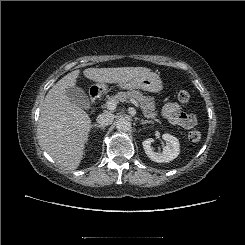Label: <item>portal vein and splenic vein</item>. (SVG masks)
<instances>
[{
    "mask_svg": "<svg viewBox=\"0 0 245 245\" xmlns=\"http://www.w3.org/2000/svg\"><path fill=\"white\" fill-rule=\"evenodd\" d=\"M132 104H134L137 108H139V104H138V102L135 100V99H130L129 100ZM116 107H117V101H115V100H110V101H108L107 103H106V108L108 109V110H114V109H116Z\"/></svg>",
    "mask_w": 245,
    "mask_h": 245,
    "instance_id": "obj_1",
    "label": "portal vein and splenic vein"
}]
</instances>
